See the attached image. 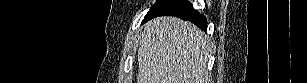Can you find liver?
<instances>
[{
    "mask_svg": "<svg viewBox=\"0 0 307 83\" xmlns=\"http://www.w3.org/2000/svg\"><path fill=\"white\" fill-rule=\"evenodd\" d=\"M210 40L194 24L162 16L146 23L137 83H208Z\"/></svg>",
    "mask_w": 307,
    "mask_h": 83,
    "instance_id": "obj_1",
    "label": "liver"
}]
</instances>
